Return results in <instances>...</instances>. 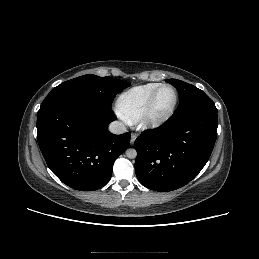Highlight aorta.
I'll use <instances>...</instances> for the list:
<instances>
[{
    "instance_id": "762f6f07",
    "label": "aorta",
    "mask_w": 259,
    "mask_h": 259,
    "mask_svg": "<svg viewBox=\"0 0 259 259\" xmlns=\"http://www.w3.org/2000/svg\"><path fill=\"white\" fill-rule=\"evenodd\" d=\"M126 156L130 159H133L137 156V151L135 149H128L126 151Z\"/></svg>"
}]
</instances>
